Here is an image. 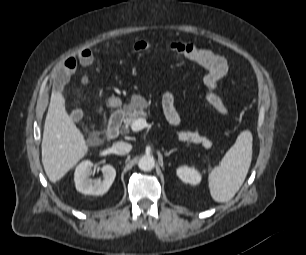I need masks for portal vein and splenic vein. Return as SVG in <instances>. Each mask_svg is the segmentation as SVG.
Masks as SVG:
<instances>
[{
	"mask_svg": "<svg viewBox=\"0 0 306 255\" xmlns=\"http://www.w3.org/2000/svg\"><path fill=\"white\" fill-rule=\"evenodd\" d=\"M149 125L146 122V119L143 117L137 118L136 120H134L131 124V130L134 132H138L146 127H148ZM203 142H209L207 139L202 138Z\"/></svg>",
	"mask_w": 306,
	"mask_h": 255,
	"instance_id": "portal-vein-and-splenic-vein-1",
	"label": "portal vein and splenic vein"
}]
</instances>
